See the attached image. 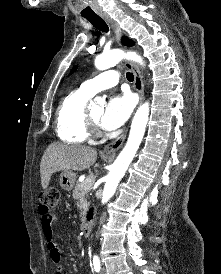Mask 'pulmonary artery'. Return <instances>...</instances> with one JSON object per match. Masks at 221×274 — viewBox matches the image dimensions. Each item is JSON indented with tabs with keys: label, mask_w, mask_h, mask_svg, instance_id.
Listing matches in <instances>:
<instances>
[{
	"label": "pulmonary artery",
	"mask_w": 221,
	"mask_h": 274,
	"mask_svg": "<svg viewBox=\"0 0 221 274\" xmlns=\"http://www.w3.org/2000/svg\"><path fill=\"white\" fill-rule=\"evenodd\" d=\"M120 75L116 70L105 71L94 78L85 81L81 85V89L94 95L99 91L114 87L119 82Z\"/></svg>",
	"instance_id": "1"
}]
</instances>
